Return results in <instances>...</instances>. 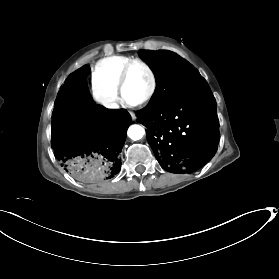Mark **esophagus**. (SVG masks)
<instances>
[{
	"instance_id": "esophagus-1",
	"label": "esophagus",
	"mask_w": 279,
	"mask_h": 279,
	"mask_svg": "<svg viewBox=\"0 0 279 279\" xmlns=\"http://www.w3.org/2000/svg\"><path fill=\"white\" fill-rule=\"evenodd\" d=\"M130 114H131L132 119L134 120L136 118L135 114L133 112H130Z\"/></svg>"
}]
</instances>
